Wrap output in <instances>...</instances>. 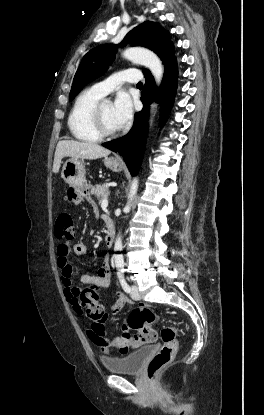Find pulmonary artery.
I'll use <instances>...</instances> for the list:
<instances>
[{
    "label": "pulmonary artery",
    "instance_id": "e3ab8cb5",
    "mask_svg": "<svg viewBox=\"0 0 264 415\" xmlns=\"http://www.w3.org/2000/svg\"><path fill=\"white\" fill-rule=\"evenodd\" d=\"M142 75L138 72H129L126 70L119 71L104 81L94 84L91 90L103 97L121 87L124 82L138 83Z\"/></svg>",
    "mask_w": 264,
    "mask_h": 415
}]
</instances>
